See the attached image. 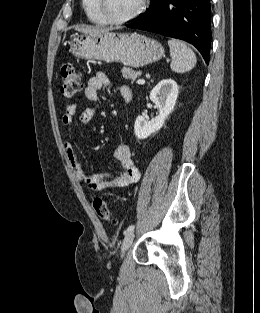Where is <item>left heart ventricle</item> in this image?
<instances>
[{"mask_svg":"<svg viewBox=\"0 0 260 313\" xmlns=\"http://www.w3.org/2000/svg\"><path fill=\"white\" fill-rule=\"evenodd\" d=\"M140 0H105L107 13L114 18H121L130 14Z\"/></svg>","mask_w":260,"mask_h":313,"instance_id":"left-heart-ventricle-1","label":"left heart ventricle"}]
</instances>
